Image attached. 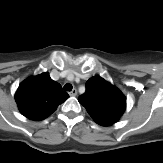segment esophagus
<instances>
[{
	"instance_id": "esophagus-1",
	"label": "esophagus",
	"mask_w": 163,
	"mask_h": 163,
	"mask_svg": "<svg viewBox=\"0 0 163 163\" xmlns=\"http://www.w3.org/2000/svg\"><path fill=\"white\" fill-rule=\"evenodd\" d=\"M70 96H76L77 95V90L73 89L72 91L69 92Z\"/></svg>"
}]
</instances>
